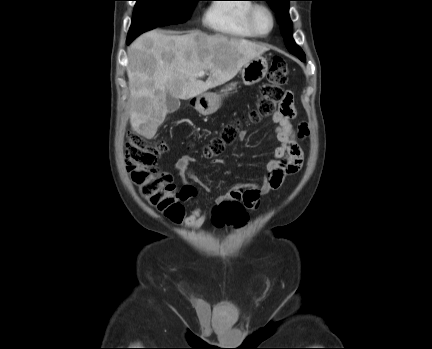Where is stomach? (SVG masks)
Returning a JSON list of instances; mask_svg holds the SVG:
<instances>
[{
  "mask_svg": "<svg viewBox=\"0 0 432 349\" xmlns=\"http://www.w3.org/2000/svg\"><path fill=\"white\" fill-rule=\"evenodd\" d=\"M268 71V62L262 56L255 57L241 70L243 83L247 86L260 82ZM237 90L235 83L226 86L224 93L205 92L196 97L195 109L202 115L215 113L222 104L223 96L234 93Z\"/></svg>",
  "mask_w": 432,
  "mask_h": 349,
  "instance_id": "1",
  "label": "stomach"
}]
</instances>
